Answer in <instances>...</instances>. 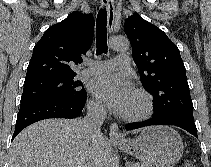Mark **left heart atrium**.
<instances>
[{
  "mask_svg": "<svg viewBox=\"0 0 211 167\" xmlns=\"http://www.w3.org/2000/svg\"><path fill=\"white\" fill-rule=\"evenodd\" d=\"M90 92L109 109L124 113L133 96L129 82L117 75H105L93 79Z\"/></svg>",
  "mask_w": 211,
  "mask_h": 167,
  "instance_id": "obj_1",
  "label": "left heart atrium"
}]
</instances>
